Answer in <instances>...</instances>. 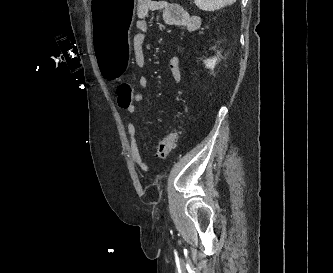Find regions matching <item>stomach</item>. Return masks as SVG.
Masks as SVG:
<instances>
[{"instance_id": "0dacf381", "label": "stomach", "mask_w": 333, "mask_h": 273, "mask_svg": "<svg viewBox=\"0 0 333 273\" xmlns=\"http://www.w3.org/2000/svg\"><path fill=\"white\" fill-rule=\"evenodd\" d=\"M135 0H93V44L97 56L98 75L102 81H119L120 75H127L131 65L129 32H133Z\"/></svg>"}]
</instances>
